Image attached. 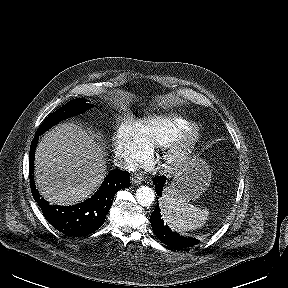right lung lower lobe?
I'll list each match as a JSON object with an SVG mask.
<instances>
[{
  "mask_svg": "<svg viewBox=\"0 0 288 288\" xmlns=\"http://www.w3.org/2000/svg\"><path fill=\"white\" fill-rule=\"evenodd\" d=\"M39 134H35L30 147L29 176L31 191L44 217L58 231L72 237L86 236L95 232L105 221L115 194L130 186L129 173L119 169L111 170L99 190L82 203L72 206H52L42 199L35 188L34 154Z\"/></svg>",
  "mask_w": 288,
  "mask_h": 288,
  "instance_id": "1",
  "label": "right lung lower lobe"
}]
</instances>
